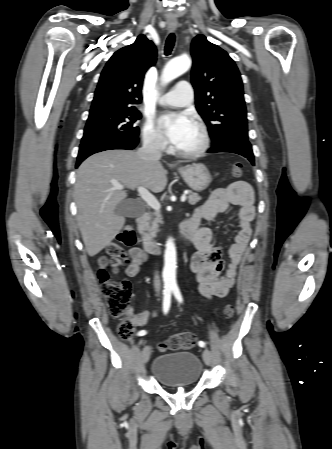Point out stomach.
<instances>
[{
  "label": "stomach",
  "instance_id": "obj_1",
  "mask_svg": "<svg viewBox=\"0 0 332 449\" xmlns=\"http://www.w3.org/2000/svg\"><path fill=\"white\" fill-rule=\"evenodd\" d=\"M179 173L187 185L197 192L205 190L212 181L208 169L200 163L182 167L179 169Z\"/></svg>",
  "mask_w": 332,
  "mask_h": 449
}]
</instances>
